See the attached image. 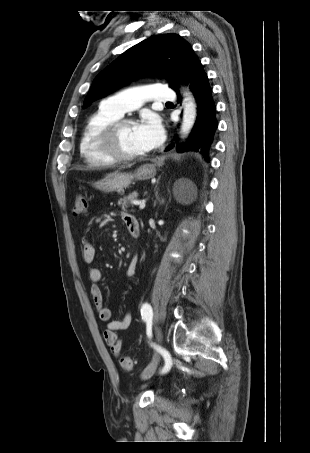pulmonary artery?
<instances>
[{
  "mask_svg": "<svg viewBox=\"0 0 310 453\" xmlns=\"http://www.w3.org/2000/svg\"><path fill=\"white\" fill-rule=\"evenodd\" d=\"M175 99V92L164 84H153L143 87H135L118 92L105 101L102 105L119 116L126 112L136 110L144 102L171 101Z\"/></svg>",
  "mask_w": 310,
  "mask_h": 453,
  "instance_id": "obj_1",
  "label": "pulmonary artery"
}]
</instances>
